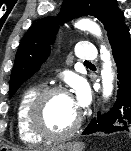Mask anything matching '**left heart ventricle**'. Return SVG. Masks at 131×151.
I'll use <instances>...</instances> for the list:
<instances>
[{"label":"left heart ventricle","mask_w":131,"mask_h":151,"mask_svg":"<svg viewBox=\"0 0 131 151\" xmlns=\"http://www.w3.org/2000/svg\"><path fill=\"white\" fill-rule=\"evenodd\" d=\"M78 115L79 111L70 95L56 94L46 103L44 124L50 132H64L74 124Z\"/></svg>","instance_id":"obj_1"}]
</instances>
